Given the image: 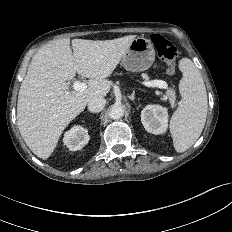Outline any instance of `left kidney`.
Listing matches in <instances>:
<instances>
[{
	"label": "left kidney",
	"instance_id": "obj_1",
	"mask_svg": "<svg viewBox=\"0 0 232 232\" xmlns=\"http://www.w3.org/2000/svg\"><path fill=\"white\" fill-rule=\"evenodd\" d=\"M141 122L146 131L162 134L168 127V110L160 105H147L141 111Z\"/></svg>",
	"mask_w": 232,
	"mask_h": 232
}]
</instances>
